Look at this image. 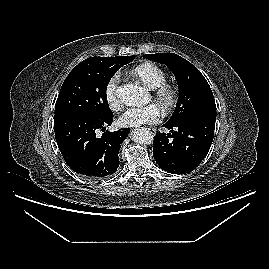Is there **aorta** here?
Returning a JSON list of instances; mask_svg holds the SVG:
<instances>
[{"label": "aorta", "instance_id": "aorta-1", "mask_svg": "<svg viewBox=\"0 0 269 269\" xmlns=\"http://www.w3.org/2000/svg\"><path fill=\"white\" fill-rule=\"evenodd\" d=\"M116 94L119 100L128 106L137 105L143 102L147 97L145 90L135 84H125L120 86L116 90ZM131 138L134 142L143 145H150L153 142L152 133L145 128L134 129L131 132Z\"/></svg>", "mask_w": 269, "mask_h": 269}]
</instances>
